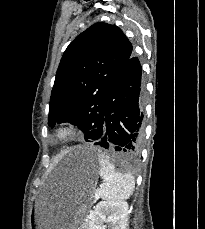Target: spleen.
I'll return each instance as SVG.
<instances>
[{
  "instance_id": "3e777b00",
  "label": "spleen",
  "mask_w": 205,
  "mask_h": 229,
  "mask_svg": "<svg viewBox=\"0 0 205 229\" xmlns=\"http://www.w3.org/2000/svg\"><path fill=\"white\" fill-rule=\"evenodd\" d=\"M100 176L103 180L95 196L107 201H119L128 199L135 187V181L131 174H122L115 170L109 158L99 154Z\"/></svg>"
}]
</instances>
